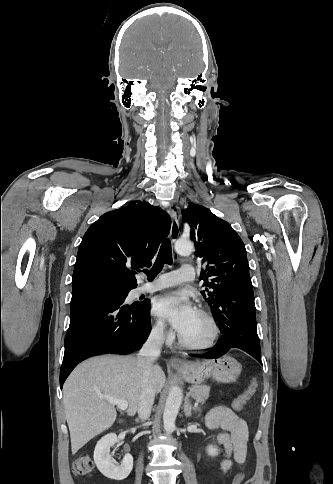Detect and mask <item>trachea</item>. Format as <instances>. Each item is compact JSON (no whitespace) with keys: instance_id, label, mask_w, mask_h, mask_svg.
I'll return each instance as SVG.
<instances>
[{"instance_id":"3493384b","label":"trachea","mask_w":333,"mask_h":484,"mask_svg":"<svg viewBox=\"0 0 333 484\" xmlns=\"http://www.w3.org/2000/svg\"><path fill=\"white\" fill-rule=\"evenodd\" d=\"M165 264H172V248L169 239H166L162 243L152 268L150 270H144V273L147 275L149 280H153L162 271Z\"/></svg>"}]
</instances>
